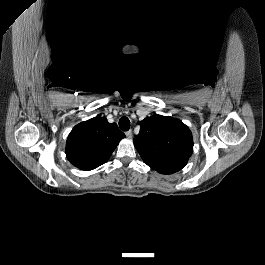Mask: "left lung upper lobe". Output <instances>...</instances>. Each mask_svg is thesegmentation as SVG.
I'll list each match as a JSON object with an SVG mask.
<instances>
[{
    "instance_id": "left-lung-upper-lobe-1",
    "label": "left lung upper lobe",
    "mask_w": 265,
    "mask_h": 265,
    "mask_svg": "<svg viewBox=\"0 0 265 265\" xmlns=\"http://www.w3.org/2000/svg\"><path fill=\"white\" fill-rule=\"evenodd\" d=\"M140 132L133 139L143 161L159 171L176 164H186L193 152L189 128L179 119L153 115L139 122Z\"/></svg>"
}]
</instances>
